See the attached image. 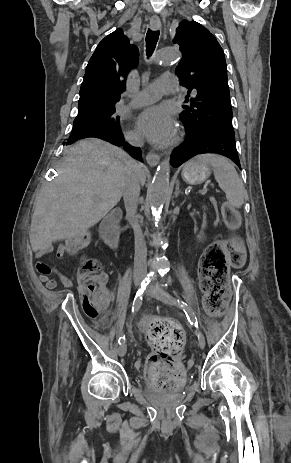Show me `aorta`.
<instances>
[{"mask_svg": "<svg viewBox=\"0 0 291 463\" xmlns=\"http://www.w3.org/2000/svg\"><path fill=\"white\" fill-rule=\"evenodd\" d=\"M181 56L179 50L173 47H166L160 49L155 58L154 63L160 66L170 64L176 61ZM169 178H170V162L165 159L157 168L153 177L151 186L149 188V202L152 211L157 214L162 210V207L167 199L169 191Z\"/></svg>", "mask_w": 291, "mask_h": 463, "instance_id": "1", "label": "aorta"}]
</instances>
